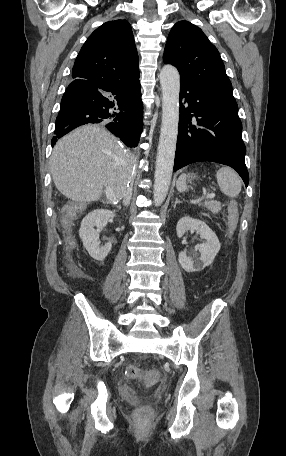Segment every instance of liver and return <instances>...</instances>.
I'll return each mask as SVG.
<instances>
[{
	"label": "liver",
	"instance_id": "liver-1",
	"mask_svg": "<svg viewBox=\"0 0 286 456\" xmlns=\"http://www.w3.org/2000/svg\"><path fill=\"white\" fill-rule=\"evenodd\" d=\"M134 157L109 132L97 125L80 127L57 142L50 158L54 184L65 197L79 203L100 199L103 188L124 196Z\"/></svg>",
	"mask_w": 286,
	"mask_h": 456
}]
</instances>
